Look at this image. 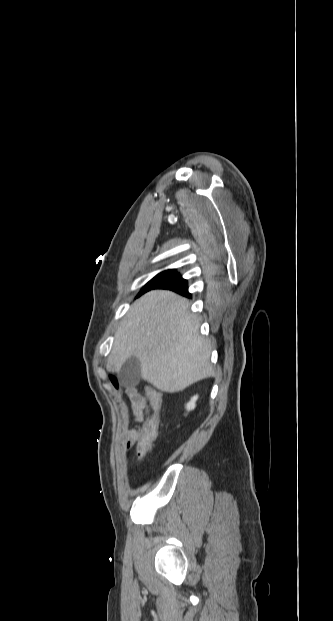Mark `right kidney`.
Wrapping results in <instances>:
<instances>
[{"label": "right kidney", "mask_w": 333, "mask_h": 621, "mask_svg": "<svg viewBox=\"0 0 333 621\" xmlns=\"http://www.w3.org/2000/svg\"><path fill=\"white\" fill-rule=\"evenodd\" d=\"M198 399V395H195L191 398V400L186 404V410L189 412L193 410L196 406V401Z\"/></svg>", "instance_id": "right-kidney-1"}]
</instances>
